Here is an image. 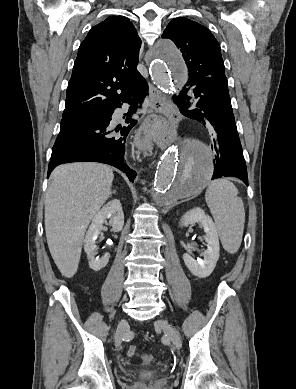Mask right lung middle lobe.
<instances>
[{
    "label": "right lung middle lobe",
    "instance_id": "1",
    "mask_svg": "<svg viewBox=\"0 0 296 389\" xmlns=\"http://www.w3.org/2000/svg\"><path fill=\"white\" fill-rule=\"evenodd\" d=\"M94 116L67 118L61 120L60 133L84 126L92 121Z\"/></svg>",
    "mask_w": 296,
    "mask_h": 389
}]
</instances>
